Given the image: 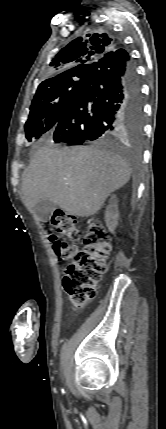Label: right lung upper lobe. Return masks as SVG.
Listing matches in <instances>:
<instances>
[{
	"label": "right lung upper lobe",
	"instance_id": "1",
	"mask_svg": "<svg viewBox=\"0 0 166 429\" xmlns=\"http://www.w3.org/2000/svg\"><path fill=\"white\" fill-rule=\"evenodd\" d=\"M117 48L116 40L105 33L87 34V39L76 38L51 60L48 69L50 78L38 86L36 94L46 91L53 84L66 78L87 75L92 63Z\"/></svg>",
	"mask_w": 166,
	"mask_h": 429
}]
</instances>
